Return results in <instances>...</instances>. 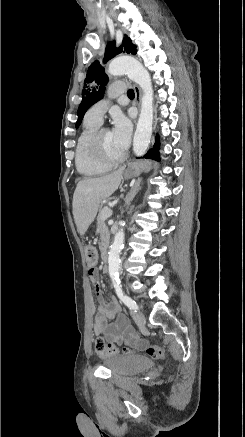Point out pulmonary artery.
Segmentation results:
<instances>
[{"label": "pulmonary artery", "mask_w": 245, "mask_h": 437, "mask_svg": "<svg viewBox=\"0 0 245 437\" xmlns=\"http://www.w3.org/2000/svg\"><path fill=\"white\" fill-rule=\"evenodd\" d=\"M127 89V86L123 82H114L108 88V98L102 99L92 105L87 113L86 118L97 123H101L102 118L106 110L110 105V99L117 97L118 95L124 93Z\"/></svg>", "instance_id": "obj_1"}]
</instances>
